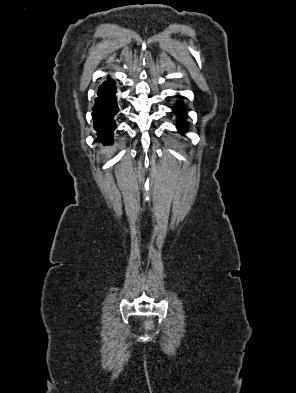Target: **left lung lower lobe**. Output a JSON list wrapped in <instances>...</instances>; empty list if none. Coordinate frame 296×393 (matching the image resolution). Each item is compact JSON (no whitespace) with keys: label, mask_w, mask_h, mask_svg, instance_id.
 Instances as JSON below:
<instances>
[{"label":"left lung lower lobe","mask_w":296,"mask_h":393,"mask_svg":"<svg viewBox=\"0 0 296 393\" xmlns=\"http://www.w3.org/2000/svg\"><path fill=\"white\" fill-rule=\"evenodd\" d=\"M174 112L178 115L180 120V125L178 126L179 131H185L186 125L182 120L186 117V112L182 105H178L173 108Z\"/></svg>","instance_id":"obj_1"}]
</instances>
